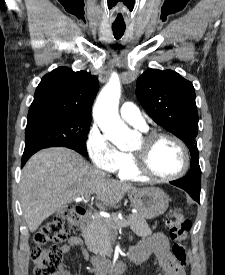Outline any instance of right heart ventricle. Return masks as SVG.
I'll list each match as a JSON object with an SVG mask.
<instances>
[{"mask_svg":"<svg viewBox=\"0 0 225 275\" xmlns=\"http://www.w3.org/2000/svg\"><path fill=\"white\" fill-rule=\"evenodd\" d=\"M116 172L118 176L124 180L141 181L144 179L135 170L134 157L129 153H124V162Z\"/></svg>","mask_w":225,"mask_h":275,"instance_id":"e07e8e85","label":"right heart ventricle"}]
</instances>
